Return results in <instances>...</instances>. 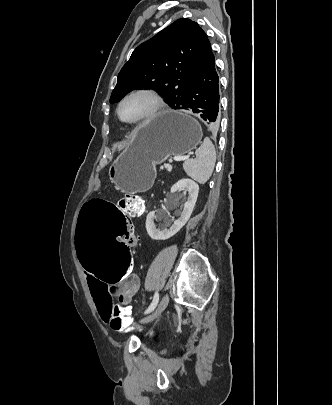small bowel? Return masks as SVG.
Wrapping results in <instances>:
<instances>
[{"label": "small bowel", "instance_id": "1", "mask_svg": "<svg viewBox=\"0 0 332 405\" xmlns=\"http://www.w3.org/2000/svg\"><path fill=\"white\" fill-rule=\"evenodd\" d=\"M136 237L137 244L139 240L138 234H136ZM85 277L99 316L103 321L109 323V311L113 304V297H116L123 307H129L133 296L140 287V278L134 272L130 281H122L120 287H107L106 281L97 280V275H85Z\"/></svg>", "mask_w": 332, "mask_h": 405}]
</instances>
